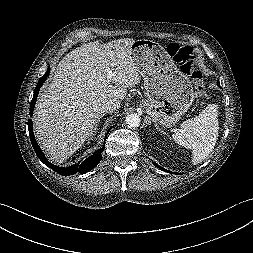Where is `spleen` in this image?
Segmentation results:
<instances>
[{"instance_id":"obj_1","label":"spleen","mask_w":253,"mask_h":253,"mask_svg":"<svg viewBox=\"0 0 253 253\" xmlns=\"http://www.w3.org/2000/svg\"><path fill=\"white\" fill-rule=\"evenodd\" d=\"M218 132V107L209 104L197 116L184 121L172 138L178 145L192 150V163L196 165L213 151Z\"/></svg>"}]
</instances>
